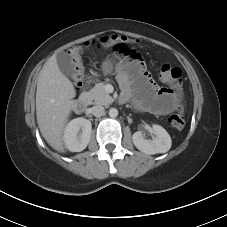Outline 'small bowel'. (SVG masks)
Here are the masks:
<instances>
[{"mask_svg":"<svg viewBox=\"0 0 227 227\" xmlns=\"http://www.w3.org/2000/svg\"><path fill=\"white\" fill-rule=\"evenodd\" d=\"M139 54H132L114 66L117 81L122 90L121 100L133 98L137 108L166 115L172 112L178 100L175 93L168 88L158 87L150 78Z\"/></svg>","mask_w":227,"mask_h":227,"instance_id":"obj_1","label":"small bowel"}]
</instances>
